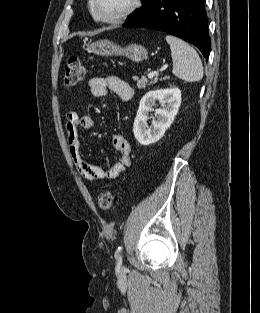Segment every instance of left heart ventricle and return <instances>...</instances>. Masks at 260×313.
Returning a JSON list of instances; mask_svg holds the SVG:
<instances>
[{
    "label": "left heart ventricle",
    "mask_w": 260,
    "mask_h": 313,
    "mask_svg": "<svg viewBox=\"0 0 260 313\" xmlns=\"http://www.w3.org/2000/svg\"><path fill=\"white\" fill-rule=\"evenodd\" d=\"M131 0H97V9L102 16H115L124 11Z\"/></svg>",
    "instance_id": "1"
}]
</instances>
